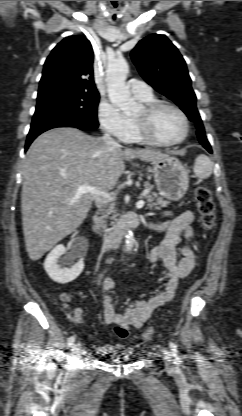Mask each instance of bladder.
Returning a JSON list of instances; mask_svg holds the SVG:
<instances>
[{
	"mask_svg": "<svg viewBox=\"0 0 242 416\" xmlns=\"http://www.w3.org/2000/svg\"><path fill=\"white\" fill-rule=\"evenodd\" d=\"M112 357L114 358V361L116 363H123V362H126L127 361L126 356L125 355H122V353L120 351L115 352L112 355Z\"/></svg>",
	"mask_w": 242,
	"mask_h": 416,
	"instance_id": "1",
	"label": "bladder"
}]
</instances>
